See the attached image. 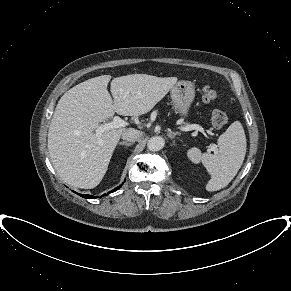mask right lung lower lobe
Segmentation results:
<instances>
[{
    "label": "right lung lower lobe",
    "mask_w": 291,
    "mask_h": 291,
    "mask_svg": "<svg viewBox=\"0 0 291 291\" xmlns=\"http://www.w3.org/2000/svg\"><path fill=\"white\" fill-rule=\"evenodd\" d=\"M121 186H118V187H116L114 190H112V191H117L119 188H120ZM111 191V192H112ZM110 193V192H109ZM106 195V194H105ZM80 196L81 197H83V198H86V199H92L93 198V196H91V195H88V194H80ZM96 198V197H95Z\"/></svg>",
    "instance_id": "obj_1"
}]
</instances>
